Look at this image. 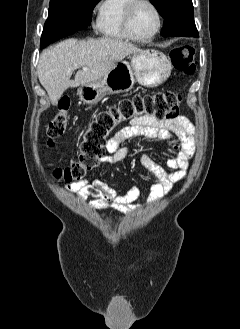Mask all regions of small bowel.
Wrapping results in <instances>:
<instances>
[{
	"instance_id": "c3829d8e",
	"label": "small bowel",
	"mask_w": 240,
	"mask_h": 329,
	"mask_svg": "<svg viewBox=\"0 0 240 329\" xmlns=\"http://www.w3.org/2000/svg\"><path fill=\"white\" fill-rule=\"evenodd\" d=\"M194 135L195 128L185 116L171 120L139 117L121 127L110 138L106 143V154L100 161L114 165L131 156L133 151L123 147V144L134 137L169 141L174 156L166 161V168L148 154L138 155L140 164L152 181L149 202H155L167 195L175 183L185 178L194 152ZM62 190L76 193L82 201L90 199V207L93 209H113L125 213L140 207L136 202L140 195L137 187L125 194H119L100 179H85L66 184Z\"/></svg>"
}]
</instances>
